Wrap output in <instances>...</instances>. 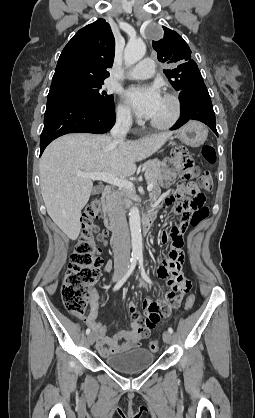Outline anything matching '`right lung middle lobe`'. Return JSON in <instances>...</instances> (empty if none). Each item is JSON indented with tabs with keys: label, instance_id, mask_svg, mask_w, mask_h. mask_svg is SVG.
<instances>
[{
	"label": "right lung middle lobe",
	"instance_id": "right-lung-middle-lobe-1",
	"mask_svg": "<svg viewBox=\"0 0 255 418\" xmlns=\"http://www.w3.org/2000/svg\"><path fill=\"white\" fill-rule=\"evenodd\" d=\"M104 82H67L50 87L48 99L73 98L87 102L101 111L111 112L114 109L113 96L101 90Z\"/></svg>",
	"mask_w": 255,
	"mask_h": 418
}]
</instances>
